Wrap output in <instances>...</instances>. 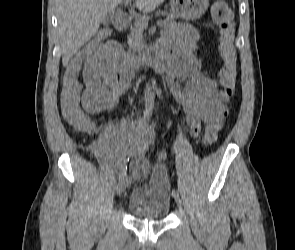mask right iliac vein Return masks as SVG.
Segmentation results:
<instances>
[{"label": "right iliac vein", "mask_w": 295, "mask_h": 250, "mask_svg": "<svg viewBox=\"0 0 295 250\" xmlns=\"http://www.w3.org/2000/svg\"><path fill=\"white\" fill-rule=\"evenodd\" d=\"M128 184L129 180L127 178H124L119 182L117 187V196H120L125 192L126 188L128 187Z\"/></svg>", "instance_id": "right-iliac-vein-1"}]
</instances>
